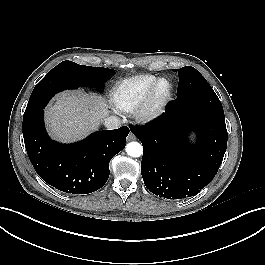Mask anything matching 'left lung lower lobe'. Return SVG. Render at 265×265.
Here are the masks:
<instances>
[{"label":"left lung lower lobe","instance_id":"0a47b994","mask_svg":"<svg viewBox=\"0 0 265 265\" xmlns=\"http://www.w3.org/2000/svg\"><path fill=\"white\" fill-rule=\"evenodd\" d=\"M130 129L143 144L146 187L167 199L198 194L216 175L227 147L225 118L176 110L174 101L157 122ZM191 130L197 132L194 145L188 141Z\"/></svg>","mask_w":265,"mask_h":265}]
</instances>
